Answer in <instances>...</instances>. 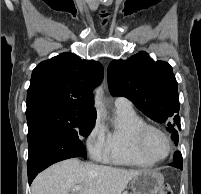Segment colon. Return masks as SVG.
Here are the masks:
<instances>
[{"label": "colon", "mask_w": 201, "mask_h": 194, "mask_svg": "<svg viewBox=\"0 0 201 194\" xmlns=\"http://www.w3.org/2000/svg\"><path fill=\"white\" fill-rule=\"evenodd\" d=\"M159 194H173V191L168 185H166L160 190Z\"/></svg>", "instance_id": "obj_1"}]
</instances>
